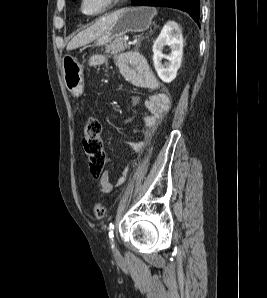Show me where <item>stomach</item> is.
Returning a JSON list of instances; mask_svg holds the SVG:
<instances>
[{
    "label": "stomach",
    "mask_w": 267,
    "mask_h": 298,
    "mask_svg": "<svg viewBox=\"0 0 267 298\" xmlns=\"http://www.w3.org/2000/svg\"><path fill=\"white\" fill-rule=\"evenodd\" d=\"M117 12V18L109 29L95 40L96 46L105 45L129 32H144L152 23L153 10L149 7L124 8ZM62 71L66 88L75 96L81 95L84 75L79 60L72 55H65L62 58Z\"/></svg>",
    "instance_id": "0dacf381"
}]
</instances>
